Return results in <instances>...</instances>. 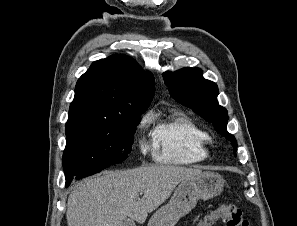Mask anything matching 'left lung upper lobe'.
Wrapping results in <instances>:
<instances>
[{
  "label": "left lung upper lobe",
  "mask_w": 297,
  "mask_h": 226,
  "mask_svg": "<svg viewBox=\"0 0 297 226\" xmlns=\"http://www.w3.org/2000/svg\"><path fill=\"white\" fill-rule=\"evenodd\" d=\"M163 78L171 97L212 123L219 134L232 142L233 150L236 152V139L228 133L226 128L227 110L220 106L217 101L219 94L217 85L206 80L199 68L187 67L176 72H165Z\"/></svg>",
  "instance_id": "5c2ea615"
}]
</instances>
